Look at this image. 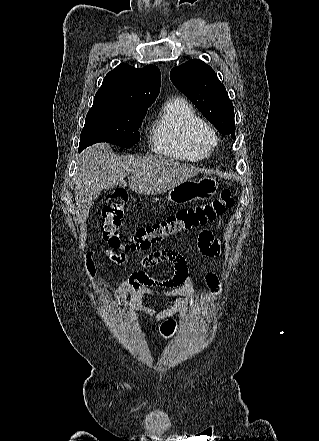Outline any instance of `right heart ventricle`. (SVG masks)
<instances>
[{"label": "right heart ventricle", "instance_id": "1", "mask_svg": "<svg viewBox=\"0 0 319 441\" xmlns=\"http://www.w3.org/2000/svg\"><path fill=\"white\" fill-rule=\"evenodd\" d=\"M216 144L206 120L182 98L169 100L151 126V145L161 155L198 161L211 154Z\"/></svg>", "mask_w": 319, "mask_h": 441}]
</instances>
